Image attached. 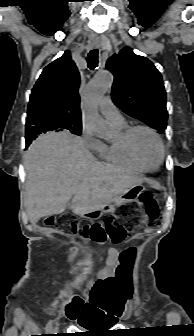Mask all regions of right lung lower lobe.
I'll list each match as a JSON object with an SVG mask.
<instances>
[{
  "instance_id": "obj_1",
  "label": "right lung lower lobe",
  "mask_w": 194,
  "mask_h": 336,
  "mask_svg": "<svg viewBox=\"0 0 194 336\" xmlns=\"http://www.w3.org/2000/svg\"><path fill=\"white\" fill-rule=\"evenodd\" d=\"M30 145V143H26V148Z\"/></svg>"
}]
</instances>
